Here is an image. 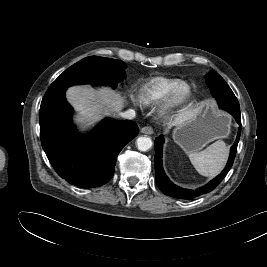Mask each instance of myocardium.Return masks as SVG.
I'll return each instance as SVG.
<instances>
[{"mask_svg":"<svg viewBox=\"0 0 267 267\" xmlns=\"http://www.w3.org/2000/svg\"><path fill=\"white\" fill-rule=\"evenodd\" d=\"M192 89L188 83L180 82L161 101L159 113L167 119L174 117L190 100Z\"/></svg>","mask_w":267,"mask_h":267,"instance_id":"obj_1","label":"myocardium"}]
</instances>
